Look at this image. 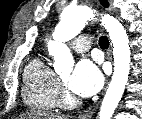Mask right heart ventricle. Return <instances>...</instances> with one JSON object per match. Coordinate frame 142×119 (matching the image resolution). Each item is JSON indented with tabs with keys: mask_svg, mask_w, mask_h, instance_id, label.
Instances as JSON below:
<instances>
[{
	"mask_svg": "<svg viewBox=\"0 0 142 119\" xmlns=\"http://www.w3.org/2000/svg\"><path fill=\"white\" fill-rule=\"evenodd\" d=\"M59 80L54 71L41 59L35 58L25 67L22 95L33 108L51 110L58 105Z\"/></svg>",
	"mask_w": 142,
	"mask_h": 119,
	"instance_id": "right-heart-ventricle-1",
	"label": "right heart ventricle"
}]
</instances>
